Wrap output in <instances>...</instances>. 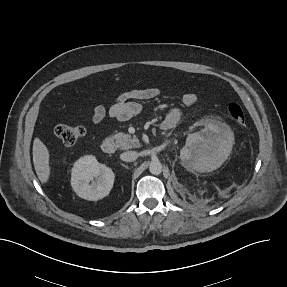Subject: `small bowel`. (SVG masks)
Here are the masks:
<instances>
[{
    "label": "small bowel",
    "mask_w": 287,
    "mask_h": 287,
    "mask_svg": "<svg viewBox=\"0 0 287 287\" xmlns=\"http://www.w3.org/2000/svg\"><path fill=\"white\" fill-rule=\"evenodd\" d=\"M160 93L157 87H144L128 90L114 101L109 110L104 106L99 105L90 111V118L94 124L101 123L107 114L117 120L125 121L134 117L141 111V102L154 99ZM197 96L193 92H187L182 96V102L186 106L195 104ZM181 118V111L178 108H172L167 111L161 129H172L177 125Z\"/></svg>",
    "instance_id": "small-bowel-1"
}]
</instances>
